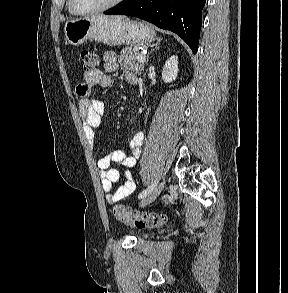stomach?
I'll list each match as a JSON object with an SVG mask.
<instances>
[{"label":"stomach","mask_w":288,"mask_h":293,"mask_svg":"<svg viewBox=\"0 0 288 293\" xmlns=\"http://www.w3.org/2000/svg\"><path fill=\"white\" fill-rule=\"evenodd\" d=\"M65 39L72 46L85 41H98L107 45H136L150 43L155 32L148 25L119 17L95 15L69 20L64 27Z\"/></svg>","instance_id":"obj_1"}]
</instances>
